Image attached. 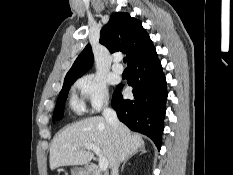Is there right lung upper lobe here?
<instances>
[{
  "label": "right lung upper lobe",
  "instance_id": "cb5924a9",
  "mask_svg": "<svg viewBox=\"0 0 233 175\" xmlns=\"http://www.w3.org/2000/svg\"><path fill=\"white\" fill-rule=\"evenodd\" d=\"M99 42L111 53L121 51L128 56V66L155 51L154 45L142 24L129 13H114L100 31ZM93 53L90 44L80 53L64 81L77 79L92 66Z\"/></svg>",
  "mask_w": 233,
  "mask_h": 175
}]
</instances>
